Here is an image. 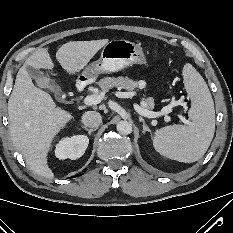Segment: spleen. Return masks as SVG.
<instances>
[{
    "label": "spleen",
    "instance_id": "3e777b00",
    "mask_svg": "<svg viewBox=\"0 0 233 233\" xmlns=\"http://www.w3.org/2000/svg\"><path fill=\"white\" fill-rule=\"evenodd\" d=\"M185 89L191 99L186 126H165L153 138L161 155L179 162L192 163L203 157L215 132V110L212 95L199 72L191 65L183 68Z\"/></svg>",
    "mask_w": 233,
    "mask_h": 233
}]
</instances>
